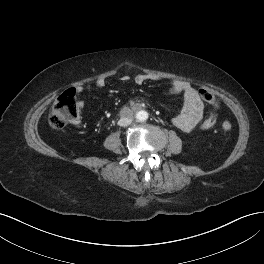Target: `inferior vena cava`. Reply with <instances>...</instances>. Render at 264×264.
I'll return each instance as SVG.
<instances>
[{
	"mask_svg": "<svg viewBox=\"0 0 264 264\" xmlns=\"http://www.w3.org/2000/svg\"><path fill=\"white\" fill-rule=\"evenodd\" d=\"M131 123H132V119L129 117H122L118 121V125L122 126V127H126V126L130 125Z\"/></svg>",
	"mask_w": 264,
	"mask_h": 264,
	"instance_id": "inferior-vena-cava-1",
	"label": "inferior vena cava"
}]
</instances>
